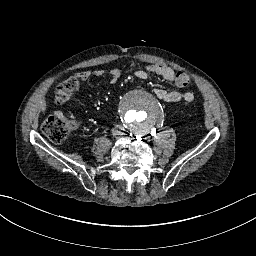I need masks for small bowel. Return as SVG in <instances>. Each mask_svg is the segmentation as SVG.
<instances>
[{
    "mask_svg": "<svg viewBox=\"0 0 256 256\" xmlns=\"http://www.w3.org/2000/svg\"><path fill=\"white\" fill-rule=\"evenodd\" d=\"M149 73L156 74L162 77L167 82L176 83V73L174 70L166 65L154 64L148 66L145 70L136 71V76L140 79H147ZM121 75V71L119 68H112L108 72L102 69H95L92 71H82L77 74L78 78L83 81L90 79L91 77L102 78L108 76L109 83L115 84L118 82ZM155 95L162 101L165 102H178L183 100L186 103H190L194 99V94L190 91L179 92V91H168L164 88H156Z\"/></svg>",
    "mask_w": 256,
    "mask_h": 256,
    "instance_id": "c3829d8e",
    "label": "small bowel"
}]
</instances>
